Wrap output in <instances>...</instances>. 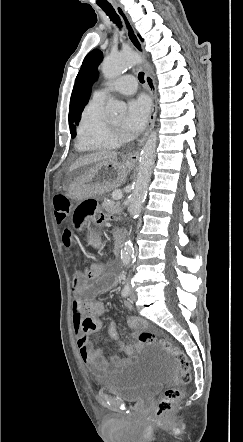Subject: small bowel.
<instances>
[{
    "label": "small bowel",
    "instance_id": "1",
    "mask_svg": "<svg viewBox=\"0 0 243 442\" xmlns=\"http://www.w3.org/2000/svg\"><path fill=\"white\" fill-rule=\"evenodd\" d=\"M118 282L119 275L114 272L106 273L100 262L91 263L88 272L76 275L74 281L73 320L76 343L81 360L96 376L131 365L141 350L140 344L126 343L122 340L114 322L110 323L108 331L116 344L115 353L107 356L102 347H95L89 340L91 335L101 329L100 317L105 312L104 303L94 300L93 297L114 289ZM125 307L132 309L130 303H125ZM127 325L133 330L146 327L145 321L137 316L129 317Z\"/></svg>",
    "mask_w": 243,
    "mask_h": 442
}]
</instances>
